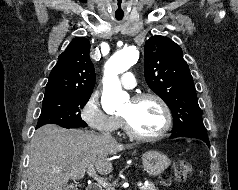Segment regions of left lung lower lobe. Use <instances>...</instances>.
<instances>
[{"mask_svg": "<svg viewBox=\"0 0 238 190\" xmlns=\"http://www.w3.org/2000/svg\"><path fill=\"white\" fill-rule=\"evenodd\" d=\"M180 136L197 138V139L204 141L208 146H210L207 132L203 131V132H199L197 134L176 133V134L172 135L170 138H176V137H180Z\"/></svg>", "mask_w": 238, "mask_h": 190, "instance_id": "0a47b994", "label": "left lung lower lobe"}]
</instances>
